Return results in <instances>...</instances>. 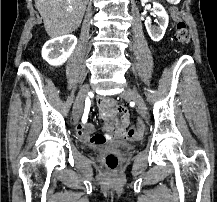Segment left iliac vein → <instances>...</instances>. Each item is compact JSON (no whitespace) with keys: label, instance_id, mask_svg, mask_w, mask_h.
Wrapping results in <instances>:
<instances>
[{"label":"left iliac vein","instance_id":"left-iliac-vein-1","mask_svg":"<svg viewBox=\"0 0 217 202\" xmlns=\"http://www.w3.org/2000/svg\"><path fill=\"white\" fill-rule=\"evenodd\" d=\"M122 97L123 98H129V99L133 100L136 103V108L139 111L140 116L143 119H146L147 109H146L145 102L136 90H133L131 88H126L124 90V92L122 93Z\"/></svg>","mask_w":217,"mask_h":202}]
</instances>
